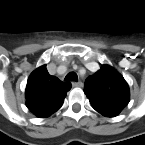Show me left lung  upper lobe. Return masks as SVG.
<instances>
[{
  "label": "left lung upper lobe",
  "mask_w": 145,
  "mask_h": 145,
  "mask_svg": "<svg viewBox=\"0 0 145 145\" xmlns=\"http://www.w3.org/2000/svg\"><path fill=\"white\" fill-rule=\"evenodd\" d=\"M84 92L92 107L106 117L117 116L130 100L128 84L109 65H102L100 70L87 78Z\"/></svg>",
  "instance_id": "5c2ea615"
}]
</instances>
